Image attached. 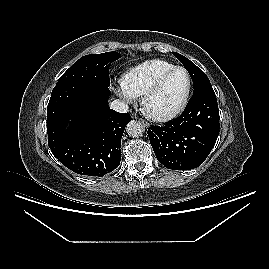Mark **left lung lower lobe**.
I'll return each instance as SVG.
<instances>
[{"label":"left lung lower lobe","mask_w":269,"mask_h":269,"mask_svg":"<svg viewBox=\"0 0 269 269\" xmlns=\"http://www.w3.org/2000/svg\"><path fill=\"white\" fill-rule=\"evenodd\" d=\"M147 133L158 161L168 169L200 166L219 134V110L211 84L193 92L178 118L164 126H151Z\"/></svg>","instance_id":"obj_1"}]
</instances>
